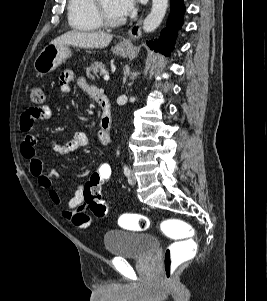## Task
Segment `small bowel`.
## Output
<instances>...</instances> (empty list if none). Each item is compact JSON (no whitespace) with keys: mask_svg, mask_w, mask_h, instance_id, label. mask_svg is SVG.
I'll return each mask as SVG.
<instances>
[{"mask_svg":"<svg viewBox=\"0 0 267 301\" xmlns=\"http://www.w3.org/2000/svg\"><path fill=\"white\" fill-rule=\"evenodd\" d=\"M74 79V72L70 69L64 70L60 75L59 90L63 96H67L71 92L70 82ZM78 87L94 98L95 93L99 90L96 86L91 85L88 81L80 77L77 79ZM52 117V111L48 106L30 107L22 113L20 117V129L25 133V137L21 143V154L29 161V169L31 174L38 180L41 188L48 192L50 200L54 204H60L61 199L54 188L53 176H58L57 172H45L41 159L37 155V136L33 132V126L36 120H48ZM110 138L100 129L98 133V142L105 146L109 143ZM89 144V139L84 132H77L66 143L53 142L52 148L61 155H69L77 151L79 148ZM86 204L84 201V188L81 184L75 185L73 196L67 203V206L61 211L62 216L71 221V223L79 229L87 228L92 219L85 214Z\"/></svg>","mask_w":267,"mask_h":301,"instance_id":"1","label":"small bowel"}]
</instances>
